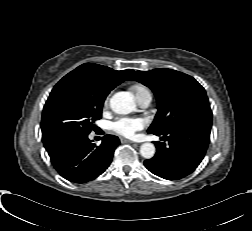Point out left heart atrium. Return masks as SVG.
Returning a JSON list of instances; mask_svg holds the SVG:
<instances>
[{"label": "left heart atrium", "mask_w": 252, "mask_h": 231, "mask_svg": "<svg viewBox=\"0 0 252 231\" xmlns=\"http://www.w3.org/2000/svg\"><path fill=\"white\" fill-rule=\"evenodd\" d=\"M145 125L146 121L143 118L123 117L112 123V129L120 135L132 137L137 131L142 130Z\"/></svg>", "instance_id": "1"}]
</instances>
